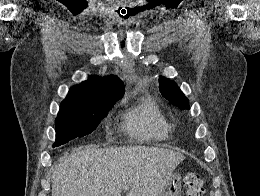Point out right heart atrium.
<instances>
[{
	"mask_svg": "<svg viewBox=\"0 0 260 196\" xmlns=\"http://www.w3.org/2000/svg\"><path fill=\"white\" fill-rule=\"evenodd\" d=\"M128 192H152V190H128Z\"/></svg>",
	"mask_w": 260,
	"mask_h": 196,
	"instance_id": "obj_1",
	"label": "right heart atrium"
}]
</instances>
